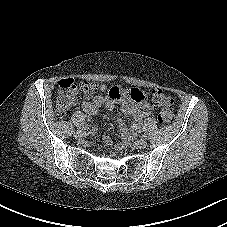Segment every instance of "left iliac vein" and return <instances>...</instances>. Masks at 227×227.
<instances>
[{
  "instance_id": "left-iliac-vein-1",
  "label": "left iliac vein",
  "mask_w": 227,
  "mask_h": 227,
  "mask_svg": "<svg viewBox=\"0 0 227 227\" xmlns=\"http://www.w3.org/2000/svg\"><path fill=\"white\" fill-rule=\"evenodd\" d=\"M147 145H148V143L145 139H139V140L135 141V143H134V146L137 149H144L147 147Z\"/></svg>"
}]
</instances>
